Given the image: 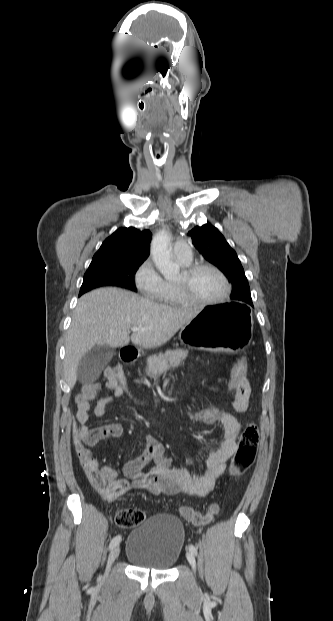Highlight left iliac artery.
<instances>
[{
    "label": "left iliac artery",
    "mask_w": 333,
    "mask_h": 621,
    "mask_svg": "<svg viewBox=\"0 0 333 621\" xmlns=\"http://www.w3.org/2000/svg\"><path fill=\"white\" fill-rule=\"evenodd\" d=\"M189 550H190V552H192L194 555H197V548H196L194 545L190 544V545H189Z\"/></svg>",
    "instance_id": "obj_1"
}]
</instances>
